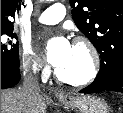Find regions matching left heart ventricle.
<instances>
[{
    "label": "left heart ventricle",
    "instance_id": "left-heart-ventricle-1",
    "mask_svg": "<svg viewBox=\"0 0 123 113\" xmlns=\"http://www.w3.org/2000/svg\"><path fill=\"white\" fill-rule=\"evenodd\" d=\"M88 69V53L85 49L76 45L72 47V52L67 62L58 68L63 76L71 78L84 76L88 72Z\"/></svg>",
    "mask_w": 123,
    "mask_h": 113
}]
</instances>
